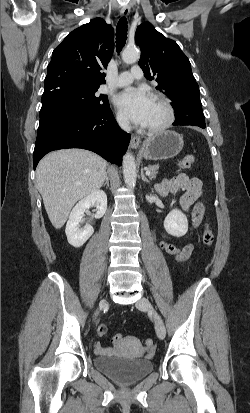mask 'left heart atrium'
Returning <instances> with one entry per match:
<instances>
[{
	"label": "left heart atrium",
	"instance_id": "1",
	"mask_svg": "<svg viewBox=\"0 0 250 413\" xmlns=\"http://www.w3.org/2000/svg\"><path fill=\"white\" fill-rule=\"evenodd\" d=\"M152 100L146 91L128 88L117 97L116 103L133 122L145 125Z\"/></svg>",
	"mask_w": 250,
	"mask_h": 413
}]
</instances>
